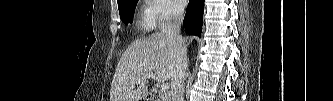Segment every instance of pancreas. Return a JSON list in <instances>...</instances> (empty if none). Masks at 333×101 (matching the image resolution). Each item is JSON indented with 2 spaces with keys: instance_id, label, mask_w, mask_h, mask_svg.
<instances>
[{
  "instance_id": "1",
  "label": "pancreas",
  "mask_w": 333,
  "mask_h": 101,
  "mask_svg": "<svg viewBox=\"0 0 333 101\" xmlns=\"http://www.w3.org/2000/svg\"><path fill=\"white\" fill-rule=\"evenodd\" d=\"M158 101H170V95L167 93H160L158 96Z\"/></svg>"
}]
</instances>
